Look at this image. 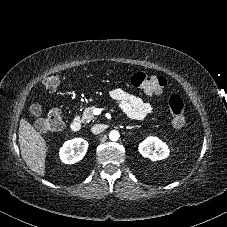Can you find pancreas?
Segmentation results:
<instances>
[{"instance_id":"pancreas-1","label":"pancreas","mask_w":227,"mask_h":227,"mask_svg":"<svg viewBox=\"0 0 227 227\" xmlns=\"http://www.w3.org/2000/svg\"><path fill=\"white\" fill-rule=\"evenodd\" d=\"M94 109H95L94 105H91V106L85 108V110L82 114V118H81V121L83 123H89L91 121H94V119H95V116L93 114Z\"/></svg>"}]
</instances>
